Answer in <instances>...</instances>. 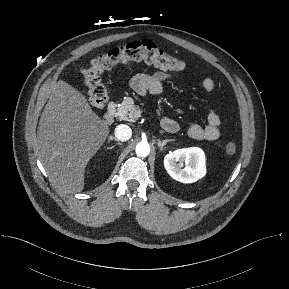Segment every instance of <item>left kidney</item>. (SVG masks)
<instances>
[{
    "label": "left kidney",
    "instance_id": "obj_1",
    "mask_svg": "<svg viewBox=\"0 0 289 289\" xmlns=\"http://www.w3.org/2000/svg\"><path fill=\"white\" fill-rule=\"evenodd\" d=\"M164 167L173 179L193 183L206 174L205 155L197 147L178 149L165 156Z\"/></svg>",
    "mask_w": 289,
    "mask_h": 289
}]
</instances>
